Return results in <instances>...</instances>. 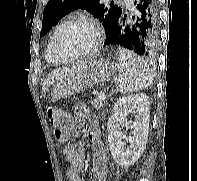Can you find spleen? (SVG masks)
<instances>
[{"mask_svg": "<svg viewBox=\"0 0 197 181\" xmlns=\"http://www.w3.org/2000/svg\"><path fill=\"white\" fill-rule=\"evenodd\" d=\"M118 52L119 77L116 83L117 91L124 94L150 87L154 75L147 62L122 47L118 48Z\"/></svg>", "mask_w": 197, "mask_h": 181, "instance_id": "3e777b00", "label": "spleen"}]
</instances>
